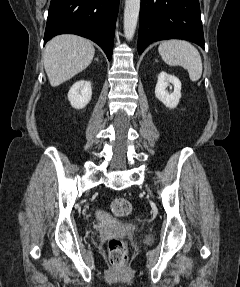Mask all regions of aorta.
Returning <instances> with one entry per match:
<instances>
[{"label":"aorta","mask_w":240,"mask_h":287,"mask_svg":"<svg viewBox=\"0 0 240 287\" xmlns=\"http://www.w3.org/2000/svg\"><path fill=\"white\" fill-rule=\"evenodd\" d=\"M141 0H125L124 35L128 41L132 40L137 27Z\"/></svg>","instance_id":"obj_1"}]
</instances>
